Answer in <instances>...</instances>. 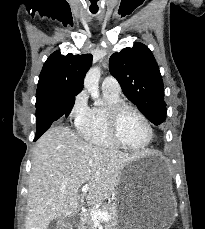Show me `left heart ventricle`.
<instances>
[{"instance_id":"1","label":"left heart ventricle","mask_w":205,"mask_h":229,"mask_svg":"<svg viewBox=\"0 0 205 229\" xmlns=\"http://www.w3.org/2000/svg\"><path fill=\"white\" fill-rule=\"evenodd\" d=\"M119 135L122 141L130 146H140L148 138L145 123L133 111H126L119 124Z\"/></svg>"}]
</instances>
